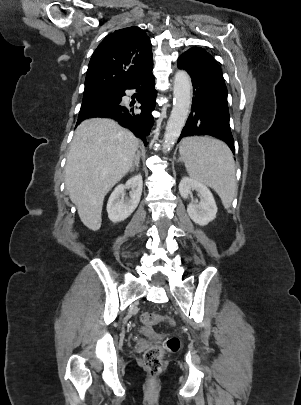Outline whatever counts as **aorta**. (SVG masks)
Returning a JSON list of instances; mask_svg holds the SVG:
<instances>
[{
	"label": "aorta",
	"instance_id": "aorta-1",
	"mask_svg": "<svg viewBox=\"0 0 301 405\" xmlns=\"http://www.w3.org/2000/svg\"><path fill=\"white\" fill-rule=\"evenodd\" d=\"M174 103L164 134L163 148L170 151L186 123L191 106V80L187 72L177 71L173 86Z\"/></svg>",
	"mask_w": 301,
	"mask_h": 405
}]
</instances>
